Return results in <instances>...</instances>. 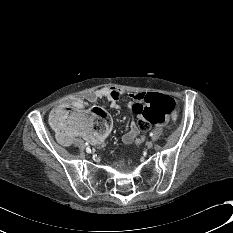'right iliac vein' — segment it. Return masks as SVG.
Returning a JSON list of instances; mask_svg holds the SVG:
<instances>
[{"instance_id":"right-iliac-vein-1","label":"right iliac vein","mask_w":233,"mask_h":233,"mask_svg":"<svg viewBox=\"0 0 233 233\" xmlns=\"http://www.w3.org/2000/svg\"><path fill=\"white\" fill-rule=\"evenodd\" d=\"M86 152H87V148H86ZM87 153H91V152L89 151V152H87Z\"/></svg>"}]
</instances>
